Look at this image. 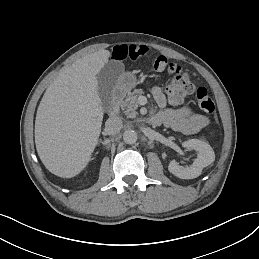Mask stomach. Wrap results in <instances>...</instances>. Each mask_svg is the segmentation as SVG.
Segmentation results:
<instances>
[{
	"label": "stomach",
	"instance_id": "obj_1",
	"mask_svg": "<svg viewBox=\"0 0 259 259\" xmlns=\"http://www.w3.org/2000/svg\"><path fill=\"white\" fill-rule=\"evenodd\" d=\"M117 87L125 92H130L137 85V79L132 72H124L117 79Z\"/></svg>",
	"mask_w": 259,
	"mask_h": 259
}]
</instances>
